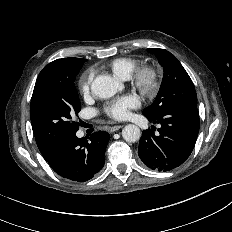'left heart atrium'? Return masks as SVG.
<instances>
[{"label": "left heart atrium", "instance_id": "left-heart-atrium-1", "mask_svg": "<svg viewBox=\"0 0 232 232\" xmlns=\"http://www.w3.org/2000/svg\"><path fill=\"white\" fill-rule=\"evenodd\" d=\"M139 105L140 99L136 95L130 94L115 100L105 110L110 117L123 120L129 116L131 109H135Z\"/></svg>", "mask_w": 232, "mask_h": 232}]
</instances>
